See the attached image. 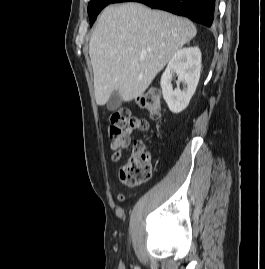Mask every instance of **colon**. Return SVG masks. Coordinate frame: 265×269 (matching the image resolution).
Instances as JSON below:
<instances>
[{"instance_id": "1", "label": "colon", "mask_w": 265, "mask_h": 269, "mask_svg": "<svg viewBox=\"0 0 265 269\" xmlns=\"http://www.w3.org/2000/svg\"><path fill=\"white\" fill-rule=\"evenodd\" d=\"M138 105L152 118L160 117L162 99L157 90L149 89L142 94ZM108 126L110 138L117 140L124 149L130 144V134L133 131H142L145 123L143 119L132 116L129 108H122L110 113ZM151 176L150 154L142 142H135L128 162L120 170L121 180L128 186H134L149 181Z\"/></svg>"}]
</instances>
